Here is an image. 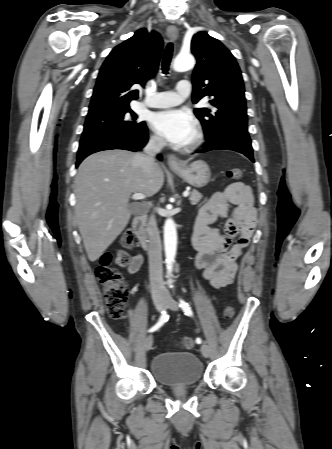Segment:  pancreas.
<instances>
[{"label":"pancreas","instance_id":"cf45deb5","mask_svg":"<svg viewBox=\"0 0 332 449\" xmlns=\"http://www.w3.org/2000/svg\"><path fill=\"white\" fill-rule=\"evenodd\" d=\"M201 199H202V194L199 193L197 190H193L191 192V195L189 198L191 204L196 205Z\"/></svg>","mask_w":332,"mask_h":449}]
</instances>
